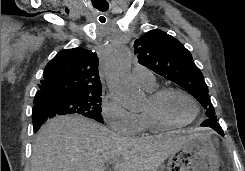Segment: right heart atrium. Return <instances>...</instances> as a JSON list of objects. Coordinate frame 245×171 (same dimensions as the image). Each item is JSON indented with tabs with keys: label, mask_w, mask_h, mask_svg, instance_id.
<instances>
[{
	"label": "right heart atrium",
	"mask_w": 245,
	"mask_h": 171,
	"mask_svg": "<svg viewBox=\"0 0 245 171\" xmlns=\"http://www.w3.org/2000/svg\"><path fill=\"white\" fill-rule=\"evenodd\" d=\"M102 116L109 128L118 134L133 136L141 131L139 115L127 110L111 96L102 103Z\"/></svg>",
	"instance_id": "d8ad5b80"
}]
</instances>
